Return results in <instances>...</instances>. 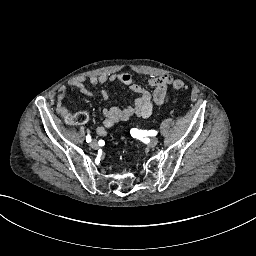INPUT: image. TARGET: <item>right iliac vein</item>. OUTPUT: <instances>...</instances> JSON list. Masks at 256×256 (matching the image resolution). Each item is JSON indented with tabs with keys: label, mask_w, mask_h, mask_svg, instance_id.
<instances>
[{
	"label": "right iliac vein",
	"mask_w": 256,
	"mask_h": 256,
	"mask_svg": "<svg viewBox=\"0 0 256 256\" xmlns=\"http://www.w3.org/2000/svg\"><path fill=\"white\" fill-rule=\"evenodd\" d=\"M90 146H91L92 149H98V143H97V141H96V140H92V141L90 142Z\"/></svg>",
	"instance_id": "63e3f726"
}]
</instances>
